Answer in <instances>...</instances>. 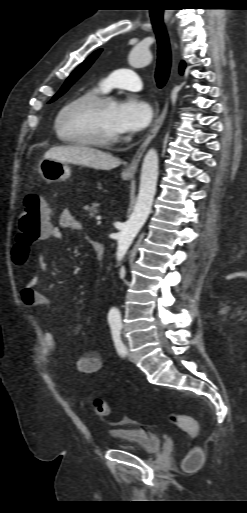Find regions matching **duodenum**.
Listing matches in <instances>:
<instances>
[{"mask_svg":"<svg viewBox=\"0 0 247 513\" xmlns=\"http://www.w3.org/2000/svg\"><path fill=\"white\" fill-rule=\"evenodd\" d=\"M91 242H92V245H93V249H94V252H95L96 259L98 261L103 260L104 255H105V248H104L103 243L98 241V240H95V239H92Z\"/></svg>","mask_w":247,"mask_h":513,"instance_id":"1","label":"duodenum"}]
</instances>
